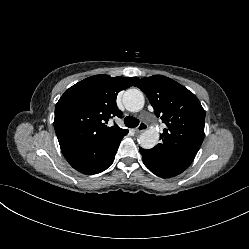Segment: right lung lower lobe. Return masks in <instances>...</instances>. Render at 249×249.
I'll return each mask as SVG.
<instances>
[{
	"mask_svg": "<svg viewBox=\"0 0 249 249\" xmlns=\"http://www.w3.org/2000/svg\"><path fill=\"white\" fill-rule=\"evenodd\" d=\"M125 135L127 133L95 145L64 146L61 151L74 169L84 174H96L106 170L113 163Z\"/></svg>",
	"mask_w": 249,
	"mask_h": 249,
	"instance_id": "right-lung-lower-lobe-1",
	"label": "right lung lower lobe"
}]
</instances>
